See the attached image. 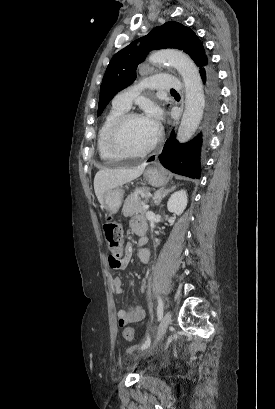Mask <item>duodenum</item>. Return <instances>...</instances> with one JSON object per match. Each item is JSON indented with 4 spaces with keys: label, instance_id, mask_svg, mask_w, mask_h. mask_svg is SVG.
<instances>
[{
    "label": "duodenum",
    "instance_id": "duodenum-1",
    "mask_svg": "<svg viewBox=\"0 0 275 409\" xmlns=\"http://www.w3.org/2000/svg\"><path fill=\"white\" fill-rule=\"evenodd\" d=\"M134 230H135V232H136L137 234L143 235V234L145 233V231H146V225H145V223L137 224V225L135 226Z\"/></svg>",
    "mask_w": 275,
    "mask_h": 409
}]
</instances>
